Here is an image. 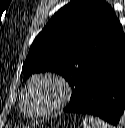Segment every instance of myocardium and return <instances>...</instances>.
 <instances>
[{
    "instance_id": "1",
    "label": "myocardium",
    "mask_w": 125,
    "mask_h": 128,
    "mask_svg": "<svg viewBox=\"0 0 125 128\" xmlns=\"http://www.w3.org/2000/svg\"><path fill=\"white\" fill-rule=\"evenodd\" d=\"M37 83H47L53 86L55 99L52 104L40 111H30L26 107V97ZM70 86L60 75L50 72L38 73L33 75L27 82L21 94V110L30 118H46L59 112L69 101Z\"/></svg>"
}]
</instances>
